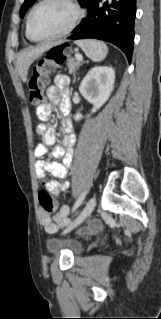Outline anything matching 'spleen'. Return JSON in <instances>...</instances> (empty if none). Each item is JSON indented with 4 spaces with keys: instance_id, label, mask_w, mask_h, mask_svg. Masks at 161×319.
<instances>
[{
    "instance_id": "3e777b00",
    "label": "spleen",
    "mask_w": 161,
    "mask_h": 319,
    "mask_svg": "<svg viewBox=\"0 0 161 319\" xmlns=\"http://www.w3.org/2000/svg\"><path fill=\"white\" fill-rule=\"evenodd\" d=\"M85 53V55L94 62H100L105 59L108 53L107 45L95 39L79 40L75 42Z\"/></svg>"
}]
</instances>
